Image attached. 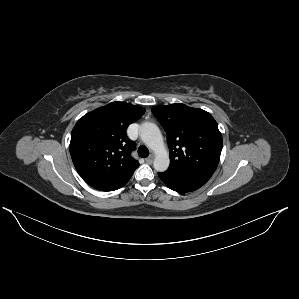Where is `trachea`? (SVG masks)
Listing matches in <instances>:
<instances>
[{"label": "trachea", "instance_id": "3493384b", "mask_svg": "<svg viewBox=\"0 0 299 299\" xmlns=\"http://www.w3.org/2000/svg\"><path fill=\"white\" fill-rule=\"evenodd\" d=\"M138 155L142 158H146L149 155V150L144 145H141L138 148Z\"/></svg>", "mask_w": 299, "mask_h": 299}]
</instances>
